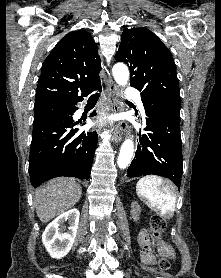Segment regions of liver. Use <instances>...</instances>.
<instances>
[{"mask_svg": "<svg viewBox=\"0 0 221 278\" xmlns=\"http://www.w3.org/2000/svg\"><path fill=\"white\" fill-rule=\"evenodd\" d=\"M82 194L81 186L72 178L60 177L38 188L34 196L36 213L41 222L47 223L71 209Z\"/></svg>", "mask_w": 221, "mask_h": 278, "instance_id": "1", "label": "liver"}]
</instances>
